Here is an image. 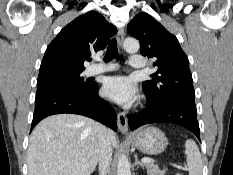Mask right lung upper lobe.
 <instances>
[{"mask_svg":"<svg viewBox=\"0 0 233 175\" xmlns=\"http://www.w3.org/2000/svg\"><path fill=\"white\" fill-rule=\"evenodd\" d=\"M116 31L96 11L77 17L47 47L38 78L83 72L84 61L92 52L104 49Z\"/></svg>","mask_w":233,"mask_h":175,"instance_id":"1","label":"right lung upper lobe"}]
</instances>
